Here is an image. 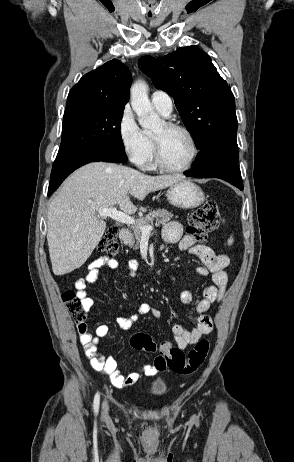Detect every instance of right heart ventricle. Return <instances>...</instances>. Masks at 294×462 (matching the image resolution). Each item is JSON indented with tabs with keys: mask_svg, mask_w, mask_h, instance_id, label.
Instances as JSON below:
<instances>
[{
	"mask_svg": "<svg viewBox=\"0 0 294 462\" xmlns=\"http://www.w3.org/2000/svg\"><path fill=\"white\" fill-rule=\"evenodd\" d=\"M160 112V111H159ZM161 113V112H160ZM164 115L163 113H161ZM166 116V115H164ZM147 143H148V151L146 158L142 164V166L148 170H153L156 168L155 161H154V147H153V141H152V135L145 133Z\"/></svg>",
	"mask_w": 294,
	"mask_h": 462,
	"instance_id": "right-heart-ventricle-1",
	"label": "right heart ventricle"
}]
</instances>
